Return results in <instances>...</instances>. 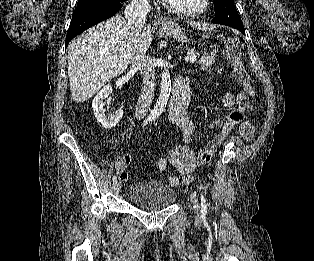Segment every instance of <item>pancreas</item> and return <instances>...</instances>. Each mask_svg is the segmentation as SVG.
<instances>
[{
	"label": "pancreas",
	"instance_id": "cf45deb5",
	"mask_svg": "<svg viewBox=\"0 0 314 261\" xmlns=\"http://www.w3.org/2000/svg\"><path fill=\"white\" fill-rule=\"evenodd\" d=\"M218 49H214L210 54L203 53L201 56L195 51V49H188L187 56L190 57L192 55L198 54L199 59L197 61L199 68L202 70H207L215 63V57Z\"/></svg>",
	"mask_w": 314,
	"mask_h": 261
}]
</instances>
